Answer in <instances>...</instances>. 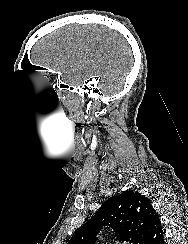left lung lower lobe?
Segmentation results:
<instances>
[{
	"label": "left lung lower lobe",
	"mask_w": 188,
	"mask_h": 244,
	"mask_svg": "<svg viewBox=\"0 0 188 244\" xmlns=\"http://www.w3.org/2000/svg\"><path fill=\"white\" fill-rule=\"evenodd\" d=\"M143 244H165L162 226L157 213L152 216L149 222Z\"/></svg>",
	"instance_id": "0a47b994"
}]
</instances>
